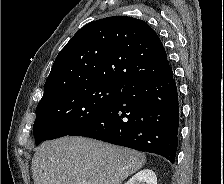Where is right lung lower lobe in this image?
Listing matches in <instances>:
<instances>
[{
  "mask_svg": "<svg viewBox=\"0 0 224 184\" xmlns=\"http://www.w3.org/2000/svg\"><path fill=\"white\" fill-rule=\"evenodd\" d=\"M179 102L173 71L127 84L117 99L69 135L155 153L175 162Z\"/></svg>",
  "mask_w": 224,
  "mask_h": 184,
  "instance_id": "1",
  "label": "right lung lower lobe"
}]
</instances>
